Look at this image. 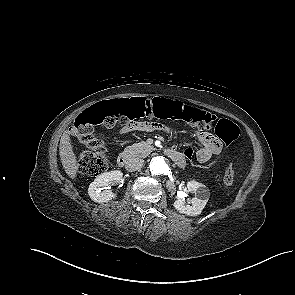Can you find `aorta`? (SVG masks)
<instances>
[{
	"label": "aorta",
	"mask_w": 295,
	"mask_h": 295,
	"mask_svg": "<svg viewBox=\"0 0 295 295\" xmlns=\"http://www.w3.org/2000/svg\"><path fill=\"white\" fill-rule=\"evenodd\" d=\"M150 171L154 175H163L168 172L169 166L163 156H156L150 160Z\"/></svg>",
	"instance_id": "obj_1"
}]
</instances>
